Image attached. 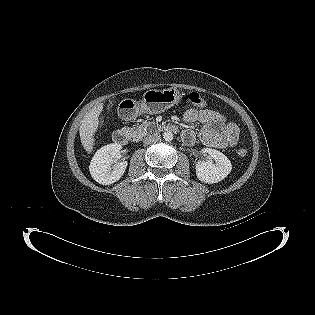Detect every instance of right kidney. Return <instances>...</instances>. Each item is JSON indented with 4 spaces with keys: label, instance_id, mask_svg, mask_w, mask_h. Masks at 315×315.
<instances>
[{
    "label": "right kidney",
    "instance_id": "right-kidney-1",
    "mask_svg": "<svg viewBox=\"0 0 315 315\" xmlns=\"http://www.w3.org/2000/svg\"><path fill=\"white\" fill-rule=\"evenodd\" d=\"M121 145L108 144L100 148L91 160L89 170L92 178L102 185H110L118 181L124 174L127 161H117ZM115 163L114 165H111Z\"/></svg>",
    "mask_w": 315,
    "mask_h": 315
}]
</instances>
